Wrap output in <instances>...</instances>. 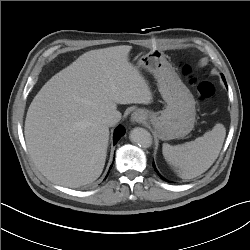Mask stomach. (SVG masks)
Here are the masks:
<instances>
[{
  "mask_svg": "<svg viewBox=\"0 0 250 250\" xmlns=\"http://www.w3.org/2000/svg\"><path fill=\"white\" fill-rule=\"evenodd\" d=\"M137 65L155 76L159 91L167 104L162 111L147 113V120L152 124L156 136L161 140H170L189 134L195 123V100L165 55L152 50L140 57Z\"/></svg>",
  "mask_w": 250,
  "mask_h": 250,
  "instance_id": "stomach-1",
  "label": "stomach"
}]
</instances>
